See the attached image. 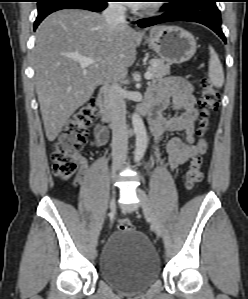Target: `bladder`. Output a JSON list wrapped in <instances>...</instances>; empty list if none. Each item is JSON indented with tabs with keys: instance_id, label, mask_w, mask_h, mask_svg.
<instances>
[{
	"instance_id": "1",
	"label": "bladder",
	"mask_w": 248,
	"mask_h": 299,
	"mask_svg": "<svg viewBox=\"0 0 248 299\" xmlns=\"http://www.w3.org/2000/svg\"><path fill=\"white\" fill-rule=\"evenodd\" d=\"M103 280L125 293L145 291L160 275V260L148 237L139 230L116 231L99 257Z\"/></svg>"
}]
</instances>
